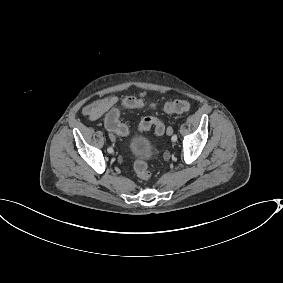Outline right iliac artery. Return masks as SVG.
Returning <instances> with one entry per match:
<instances>
[{
    "label": "right iliac artery",
    "mask_w": 283,
    "mask_h": 283,
    "mask_svg": "<svg viewBox=\"0 0 283 283\" xmlns=\"http://www.w3.org/2000/svg\"><path fill=\"white\" fill-rule=\"evenodd\" d=\"M107 151H108L109 153H112V152H113V148H112V147H108Z\"/></svg>",
    "instance_id": "1"
}]
</instances>
